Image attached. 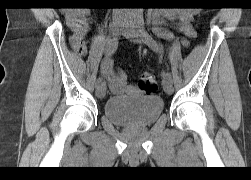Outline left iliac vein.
Returning a JSON list of instances; mask_svg holds the SVG:
<instances>
[{
    "label": "left iliac vein",
    "mask_w": 251,
    "mask_h": 180,
    "mask_svg": "<svg viewBox=\"0 0 251 180\" xmlns=\"http://www.w3.org/2000/svg\"><path fill=\"white\" fill-rule=\"evenodd\" d=\"M123 36L127 39H129L130 41L137 43V44H141L144 43V39L141 36V34L139 33V31L136 29V25L134 23H127V25L125 26L123 32H122ZM162 85H163V89L167 94H172L173 93V85L172 82L166 78L163 79L162 81Z\"/></svg>",
    "instance_id": "obj_1"
}]
</instances>
